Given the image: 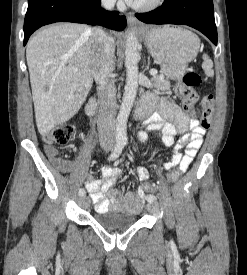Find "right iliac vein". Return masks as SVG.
I'll return each instance as SVG.
<instances>
[{"instance_id":"63e3f726","label":"right iliac vein","mask_w":247,"mask_h":275,"mask_svg":"<svg viewBox=\"0 0 247 275\" xmlns=\"http://www.w3.org/2000/svg\"><path fill=\"white\" fill-rule=\"evenodd\" d=\"M80 203H81V206H82L83 208H87V207L89 206V204H90V200H89L88 197L82 196V197L80 198Z\"/></svg>"}]
</instances>
